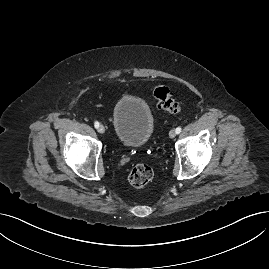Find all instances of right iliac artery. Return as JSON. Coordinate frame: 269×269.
I'll list each match as a JSON object with an SVG mask.
<instances>
[{
	"label": "right iliac artery",
	"mask_w": 269,
	"mask_h": 269,
	"mask_svg": "<svg viewBox=\"0 0 269 269\" xmlns=\"http://www.w3.org/2000/svg\"><path fill=\"white\" fill-rule=\"evenodd\" d=\"M94 126H95V128H98L99 127V122L95 121Z\"/></svg>",
	"instance_id": "82829eb1"
}]
</instances>
